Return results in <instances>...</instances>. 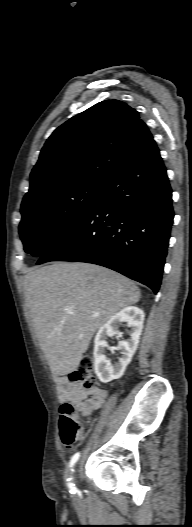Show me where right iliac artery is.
<instances>
[{"label":"right iliac artery","mask_w":192,"mask_h":527,"mask_svg":"<svg viewBox=\"0 0 192 527\" xmlns=\"http://www.w3.org/2000/svg\"><path fill=\"white\" fill-rule=\"evenodd\" d=\"M79 457H80V453L79 452L72 456V458L70 460V464H69L70 468H72L76 464V462L78 461ZM71 480H72V478H68L67 479L68 487H69L71 493H75L76 488L74 487V484L71 482Z\"/></svg>","instance_id":"82829eb1"}]
</instances>
